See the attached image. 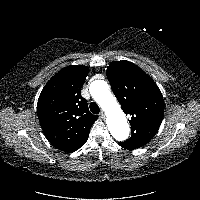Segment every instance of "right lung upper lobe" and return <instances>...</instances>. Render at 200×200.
Returning a JSON list of instances; mask_svg holds the SVG:
<instances>
[{
	"label": "right lung upper lobe",
	"mask_w": 200,
	"mask_h": 200,
	"mask_svg": "<svg viewBox=\"0 0 200 200\" xmlns=\"http://www.w3.org/2000/svg\"><path fill=\"white\" fill-rule=\"evenodd\" d=\"M88 72L85 66L63 68L48 81L38 99L41 128L48 141L64 152L78 150L87 141L90 128L97 120L81 96Z\"/></svg>",
	"instance_id": "1"
}]
</instances>
